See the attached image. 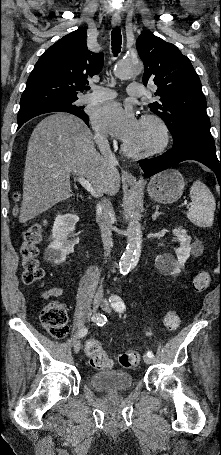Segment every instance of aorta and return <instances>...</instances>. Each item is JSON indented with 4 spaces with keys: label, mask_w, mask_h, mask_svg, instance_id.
<instances>
[{
    "label": "aorta",
    "mask_w": 221,
    "mask_h": 455,
    "mask_svg": "<svg viewBox=\"0 0 221 455\" xmlns=\"http://www.w3.org/2000/svg\"><path fill=\"white\" fill-rule=\"evenodd\" d=\"M143 65L138 59L124 58L117 63L115 76L121 80H127L142 72ZM126 219L128 227L126 230L127 246L120 259L119 269L121 273H126L136 266L142 246V230L140 219L132 209L128 210Z\"/></svg>",
    "instance_id": "obj_1"
}]
</instances>
